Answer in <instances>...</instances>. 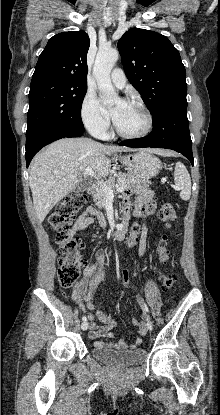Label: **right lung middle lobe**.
<instances>
[{
  "label": "right lung middle lobe",
  "mask_w": 220,
  "mask_h": 415,
  "mask_svg": "<svg viewBox=\"0 0 220 415\" xmlns=\"http://www.w3.org/2000/svg\"><path fill=\"white\" fill-rule=\"evenodd\" d=\"M87 85L53 79L31 81L26 145L49 132L84 128L81 106Z\"/></svg>",
  "instance_id": "1"
}]
</instances>
